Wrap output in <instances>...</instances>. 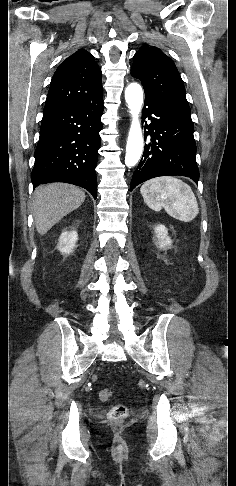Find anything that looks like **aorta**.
<instances>
[{
	"label": "aorta",
	"mask_w": 236,
	"mask_h": 486,
	"mask_svg": "<svg viewBox=\"0 0 236 486\" xmlns=\"http://www.w3.org/2000/svg\"><path fill=\"white\" fill-rule=\"evenodd\" d=\"M125 100L132 117L126 145L125 164L131 168L141 158L143 151V136L139 114L143 104V91L139 84L131 83L125 90Z\"/></svg>",
	"instance_id": "762f6f07"
}]
</instances>
